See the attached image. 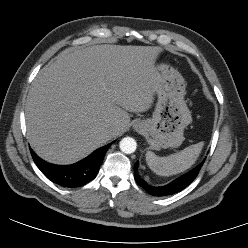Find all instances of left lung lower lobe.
Here are the masks:
<instances>
[{
    "label": "left lung lower lobe",
    "instance_id": "left-lung-lower-lobe-1",
    "mask_svg": "<svg viewBox=\"0 0 248 248\" xmlns=\"http://www.w3.org/2000/svg\"><path fill=\"white\" fill-rule=\"evenodd\" d=\"M205 159L194 169L178 177L167 185L164 186H151L149 185L138 173V163L134 166V178L138 185L145 191L153 196H168L178 193L185 189L199 174V171Z\"/></svg>",
    "mask_w": 248,
    "mask_h": 248
}]
</instances>
